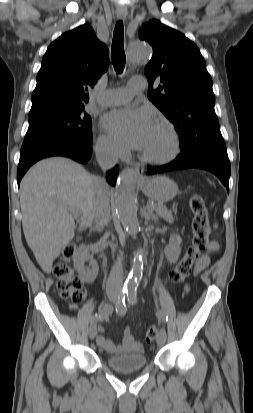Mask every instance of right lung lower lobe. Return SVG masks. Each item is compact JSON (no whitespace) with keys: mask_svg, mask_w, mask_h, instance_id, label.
Returning <instances> with one entry per match:
<instances>
[{"mask_svg":"<svg viewBox=\"0 0 253 413\" xmlns=\"http://www.w3.org/2000/svg\"><path fill=\"white\" fill-rule=\"evenodd\" d=\"M92 155V143L64 142L35 148L20 153V161L17 169L18 185L28 168L40 159L51 156H65L77 162L86 164ZM119 167L115 166L107 172L106 179L111 185H115Z\"/></svg>","mask_w":253,"mask_h":413,"instance_id":"1","label":"right lung lower lobe"}]
</instances>
